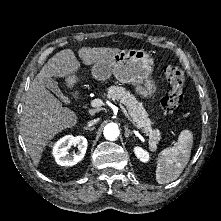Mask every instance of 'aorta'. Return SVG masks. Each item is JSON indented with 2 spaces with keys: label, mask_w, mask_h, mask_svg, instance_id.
<instances>
[{
  "label": "aorta",
  "mask_w": 221,
  "mask_h": 221,
  "mask_svg": "<svg viewBox=\"0 0 221 221\" xmlns=\"http://www.w3.org/2000/svg\"><path fill=\"white\" fill-rule=\"evenodd\" d=\"M119 136L118 126L114 123H110L104 128V137L107 140L113 141Z\"/></svg>",
  "instance_id": "obj_1"
}]
</instances>
